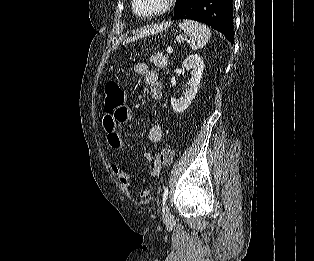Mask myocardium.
Listing matches in <instances>:
<instances>
[{
  "label": "myocardium",
  "instance_id": "1",
  "mask_svg": "<svg viewBox=\"0 0 314 261\" xmlns=\"http://www.w3.org/2000/svg\"><path fill=\"white\" fill-rule=\"evenodd\" d=\"M174 3H175V0H165L164 5L161 9H159L155 12L149 13V14H143L137 10L136 0H132L131 6H132V10H133L135 15H137L138 17L143 18V19H149V18L161 16V15L167 13L173 7Z\"/></svg>",
  "mask_w": 314,
  "mask_h": 261
}]
</instances>
